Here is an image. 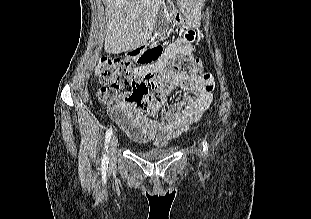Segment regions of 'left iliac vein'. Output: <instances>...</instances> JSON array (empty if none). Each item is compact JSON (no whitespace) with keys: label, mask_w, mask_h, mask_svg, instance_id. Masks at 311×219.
<instances>
[{"label":"left iliac vein","mask_w":311,"mask_h":219,"mask_svg":"<svg viewBox=\"0 0 311 219\" xmlns=\"http://www.w3.org/2000/svg\"><path fill=\"white\" fill-rule=\"evenodd\" d=\"M198 155H200V148H198Z\"/></svg>","instance_id":"1"}]
</instances>
